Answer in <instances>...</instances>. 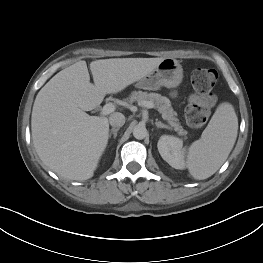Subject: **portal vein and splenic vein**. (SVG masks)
Instances as JSON below:
<instances>
[{"instance_id":"obj_1","label":"portal vein and splenic vein","mask_w":263,"mask_h":263,"mask_svg":"<svg viewBox=\"0 0 263 263\" xmlns=\"http://www.w3.org/2000/svg\"><path fill=\"white\" fill-rule=\"evenodd\" d=\"M141 106L146 107L148 109L155 108V104L151 101H144L141 103ZM115 111V105L113 103H108L103 106L101 110V115H108Z\"/></svg>"}]
</instances>
